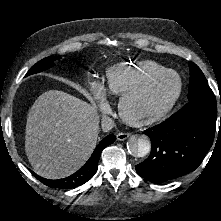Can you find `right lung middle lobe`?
<instances>
[{
    "mask_svg": "<svg viewBox=\"0 0 221 221\" xmlns=\"http://www.w3.org/2000/svg\"><path fill=\"white\" fill-rule=\"evenodd\" d=\"M56 59H59L58 57L49 56L47 58L42 59L38 63H36L26 74V76H29L31 74L38 73L42 70H46L54 65V61Z\"/></svg>",
    "mask_w": 221,
    "mask_h": 221,
    "instance_id": "dd1d6c3e",
    "label": "right lung middle lobe"
}]
</instances>
